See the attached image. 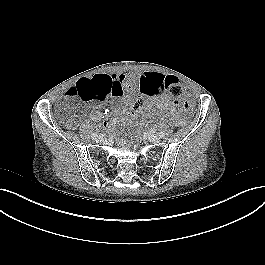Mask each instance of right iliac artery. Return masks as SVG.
Returning a JSON list of instances; mask_svg holds the SVG:
<instances>
[{
    "mask_svg": "<svg viewBox=\"0 0 265 265\" xmlns=\"http://www.w3.org/2000/svg\"><path fill=\"white\" fill-rule=\"evenodd\" d=\"M97 136H98L97 133H93V134H91V138H92V139H96Z\"/></svg>",
    "mask_w": 265,
    "mask_h": 265,
    "instance_id": "82829eb1",
    "label": "right iliac artery"
}]
</instances>
